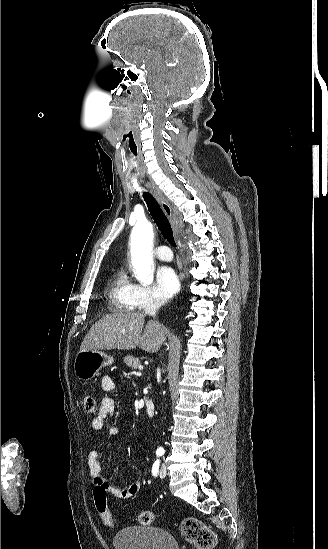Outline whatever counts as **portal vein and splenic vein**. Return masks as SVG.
<instances>
[{"label":"portal vein and splenic vein","mask_w":328,"mask_h":549,"mask_svg":"<svg viewBox=\"0 0 328 549\" xmlns=\"http://www.w3.org/2000/svg\"><path fill=\"white\" fill-rule=\"evenodd\" d=\"M138 369H140V371H142V369H143L142 365H139Z\"/></svg>","instance_id":"portal-vein-and-splenic-vein-1"}]
</instances>
